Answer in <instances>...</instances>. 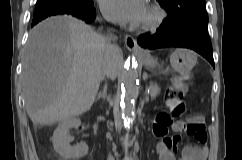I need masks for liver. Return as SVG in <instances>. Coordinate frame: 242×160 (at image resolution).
Listing matches in <instances>:
<instances>
[{
  "label": "liver",
  "instance_id": "6515ba94",
  "mask_svg": "<svg viewBox=\"0 0 242 160\" xmlns=\"http://www.w3.org/2000/svg\"><path fill=\"white\" fill-rule=\"evenodd\" d=\"M106 58L104 38L83 21L56 16L35 26L22 61V91L33 124L52 125L88 111Z\"/></svg>",
  "mask_w": 242,
  "mask_h": 160
}]
</instances>
